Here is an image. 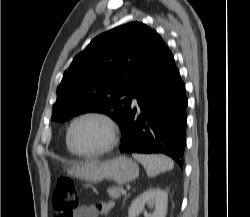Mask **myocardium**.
<instances>
[{
  "instance_id": "myocardium-1",
  "label": "myocardium",
  "mask_w": 250,
  "mask_h": 217,
  "mask_svg": "<svg viewBox=\"0 0 250 217\" xmlns=\"http://www.w3.org/2000/svg\"><path fill=\"white\" fill-rule=\"evenodd\" d=\"M86 118H95L103 122L107 128V141L99 149L91 152H81L77 150L71 140V134L74 126L81 120ZM119 140V129L115 120L107 113L99 110H89L75 116L69 123L66 130V143L69 150L77 156L84 158H94L102 156L115 148Z\"/></svg>"
}]
</instances>
